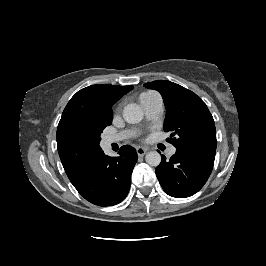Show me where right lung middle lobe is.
Masks as SVG:
<instances>
[{
	"instance_id": "obj_1",
	"label": "right lung middle lobe",
	"mask_w": 266,
	"mask_h": 266,
	"mask_svg": "<svg viewBox=\"0 0 266 266\" xmlns=\"http://www.w3.org/2000/svg\"><path fill=\"white\" fill-rule=\"evenodd\" d=\"M112 123V115H109L99 121L96 122V124L93 127V133H92V142L95 145H99V142L101 140L100 134L102 133L103 129Z\"/></svg>"
}]
</instances>
